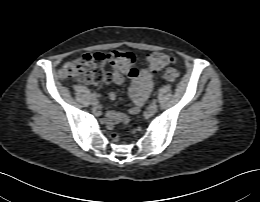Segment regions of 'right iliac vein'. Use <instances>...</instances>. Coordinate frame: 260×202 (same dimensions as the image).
Instances as JSON below:
<instances>
[{
    "instance_id": "obj_1",
    "label": "right iliac vein",
    "mask_w": 260,
    "mask_h": 202,
    "mask_svg": "<svg viewBox=\"0 0 260 202\" xmlns=\"http://www.w3.org/2000/svg\"><path fill=\"white\" fill-rule=\"evenodd\" d=\"M91 104H92L93 107H98L99 106V102H98L97 99H93Z\"/></svg>"
}]
</instances>
